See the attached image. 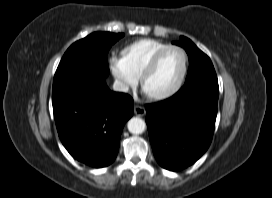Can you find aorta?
Here are the masks:
<instances>
[{
	"instance_id": "obj_1",
	"label": "aorta",
	"mask_w": 272,
	"mask_h": 198,
	"mask_svg": "<svg viewBox=\"0 0 272 198\" xmlns=\"http://www.w3.org/2000/svg\"><path fill=\"white\" fill-rule=\"evenodd\" d=\"M128 130L132 134H141L146 128L144 120L139 117L131 118L127 124Z\"/></svg>"
}]
</instances>
